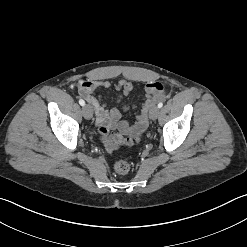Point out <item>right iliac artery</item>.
Listing matches in <instances>:
<instances>
[{
    "mask_svg": "<svg viewBox=\"0 0 247 247\" xmlns=\"http://www.w3.org/2000/svg\"><path fill=\"white\" fill-rule=\"evenodd\" d=\"M79 104H80L81 106H84V105H85V101H84L83 99H80V100H79Z\"/></svg>",
    "mask_w": 247,
    "mask_h": 247,
    "instance_id": "1",
    "label": "right iliac artery"
}]
</instances>
